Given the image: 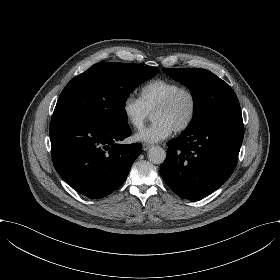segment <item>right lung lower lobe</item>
<instances>
[{
	"mask_svg": "<svg viewBox=\"0 0 280 280\" xmlns=\"http://www.w3.org/2000/svg\"><path fill=\"white\" fill-rule=\"evenodd\" d=\"M131 134L128 124L100 125L74 116L52 117L54 167L80 194L89 198L108 196L125 181L142 151L140 143L119 144Z\"/></svg>",
	"mask_w": 280,
	"mask_h": 280,
	"instance_id": "1",
	"label": "right lung lower lobe"
}]
</instances>
